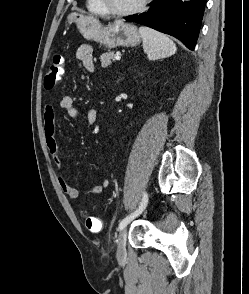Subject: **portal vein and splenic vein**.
<instances>
[{
    "mask_svg": "<svg viewBox=\"0 0 249 294\" xmlns=\"http://www.w3.org/2000/svg\"><path fill=\"white\" fill-rule=\"evenodd\" d=\"M121 59V56L120 55H116L115 56V60H120Z\"/></svg>",
    "mask_w": 249,
    "mask_h": 294,
    "instance_id": "obj_1",
    "label": "portal vein and splenic vein"
}]
</instances>
